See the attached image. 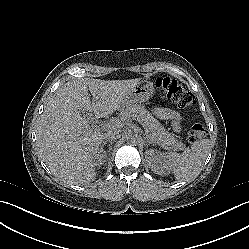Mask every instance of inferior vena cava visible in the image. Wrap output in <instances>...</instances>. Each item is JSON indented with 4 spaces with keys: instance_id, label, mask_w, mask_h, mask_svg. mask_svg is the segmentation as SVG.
<instances>
[{
    "instance_id": "602c4592",
    "label": "inferior vena cava",
    "mask_w": 249,
    "mask_h": 249,
    "mask_svg": "<svg viewBox=\"0 0 249 249\" xmlns=\"http://www.w3.org/2000/svg\"><path fill=\"white\" fill-rule=\"evenodd\" d=\"M118 134H119L118 129L114 127L108 130L107 133H104L102 135V139L115 140L116 137H118Z\"/></svg>"
}]
</instances>
